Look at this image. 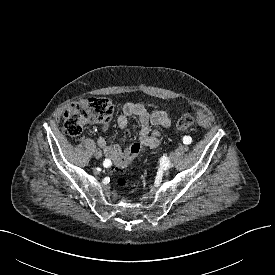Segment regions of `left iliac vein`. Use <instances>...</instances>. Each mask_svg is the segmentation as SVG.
I'll use <instances>...</instances> for the list:
<instances>
[{"instance_id":"4c4485c4","label":"left iliac vein","mask_w":275,"mask_h":275,"mask_svg":"<svg viewBox=\"0 0 275 275\" xmlns=\"http://www.w3.org/2000/svg\"><path fill=\"white\" fill-rule=\"evenodd\" d=\"M174 157H175V153L172 152V153L170 154V160H169L168 163H166V165H165V169H170L171 167H173V159H174Z\"/></svg>"}]
</instances>
